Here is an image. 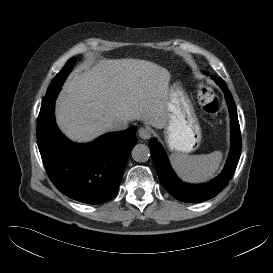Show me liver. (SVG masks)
<instances>
[{
  "label": "liver",
  "instance_id": "liver-1",
  "mask_svg": "<svg viewBox=\"0 0 273 273\" xmlns=\"http://www.w3.org/2000/svg\"><path fill=\"white\" fill-rule=\"evenodd\" d=\"M169 71L139 59H101L65 82L56 104V122L71 140L89 142L115 121L167 125Z\"/></svg>",
  "mask_w": 273,
  "mask_h": 273
}]
</instances>
